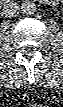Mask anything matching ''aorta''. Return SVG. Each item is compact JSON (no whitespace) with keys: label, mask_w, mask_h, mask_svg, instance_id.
<instances>
[{"label":"aorta","mask_w":63,"mask_h":107,"mask_svg":"<svg viewBox=\"0 0 63 107\" xmlns=\"http://www.w3.org/2000/svg\"><path fill=\"white\" fill-rule=\"evenodd\" d=\"M22 13L25 15H33L36 11V5L33 1H24L21 5Z\"/></svg>","instance_id":"obj_1"}]
</instances>
